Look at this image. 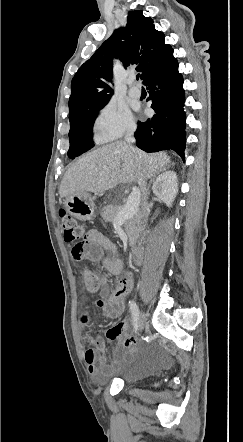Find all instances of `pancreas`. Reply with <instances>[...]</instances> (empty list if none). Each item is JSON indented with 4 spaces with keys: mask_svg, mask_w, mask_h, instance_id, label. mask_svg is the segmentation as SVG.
I'll return each instance as SVG.
<instances>
[{
    "mask_svg": "<svg viewBox=\"0 0 243 442\" xmlns=\"http://www.w3.org/2000/svg\"><path fill=\"white\" fill-rule=\"evenodd\" d=\"M122 207L114 205H106L101 210V216L106 222H113ZM123 226L129 236L130 245H134L140 232V221L138 214L135 213L131 218L123 221Z\"/></svg>",
    "mask_w": 243,
    "mask_h": 442,
    "instance_id": "cf45deb5",
    "label": "pancreas"
}]
</instances>
